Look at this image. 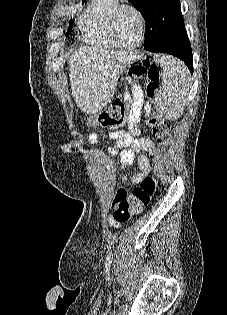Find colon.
<instances>
[{
    "label": "colon",
    "instance_id": "obj_1",
    "mask_svg": "<svg viewBox=\"0 0 227 315\" xmlns=\"http://www.w3.org/2000/svg\"><path fill=\"white\" fill-rule=\"evenodd\" d=\"M147 77L146 95L152 100L156 94L160 81L159 68L149 61H142L132 64L128 69V81L131 83L136 79ZM127 105L123 99H117L104 111L88 118L87 124L92 127L116 126L125 120ZM145 123L151 128L152 133L157 137H164L169 134L170 125L155 112L150 104L144 107ZM157 188V180L148 178L130 193L124 189L116 192L113 204L114 217L120 222H127L130 218L140 213L153 197Z\"/></svg>",
    "mask_w": 227,
    "mask_h": 315
}]
</instances>
